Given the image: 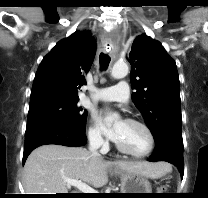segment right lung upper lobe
<instances>
[{"label":"right lung upper lobe","instance_id":"right-lung-upper-lobe-1","mask_svg":"<svg viewBox=\"0 0 208 198\" xmlns=\"http://www.w3.org/2000/svg\"><path fill=\"white\" fill-rule=\"evenodd\" d=\"M96 53V42L90 32L76 31L61 40L46 55L35 75L30 105L48 101L79 100L77 89L86 84Z\"/></svg>","mask_w":208,"mask_h":198}]
</instances>
